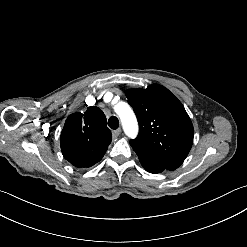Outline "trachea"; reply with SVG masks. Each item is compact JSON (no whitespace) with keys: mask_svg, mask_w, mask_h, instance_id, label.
<instances>
[{"mask_svg":"<svg viewBox=\"0 0 247 247\" xmlns=\"http://www.w3.org/2000/svg\"><path fill=\"white\" fill-rule=\"evenodd\" d=\"M108 125L112 129H117L119 127V120L115 116H111L108 120Z\"/></svg>","mask_w":247,"mask_h":247,"instance_id":"3493384b","label":"trachea"}]
</instances>
